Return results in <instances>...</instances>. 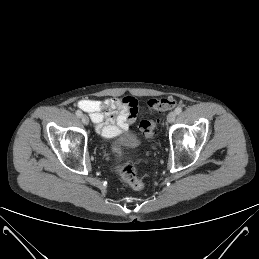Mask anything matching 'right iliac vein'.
<instances>
[{
  "label": "right iliac vein",
  "instance_id": "right-iliac-vein-1",
  "mask_svg": "<svg viewBox=\"0 0 259 259\" xmlns=\"http://www.w3.org/2000/svg\"><path fill=\"white\" fill-rule=\"evenodd\" d=\"M81 120H82L84 125H88L89 124V118H88L87 115H82L81 116Z\"/></svg>",
  "mask_w": 259,
  "mask_h": 259
}]
</instances>
